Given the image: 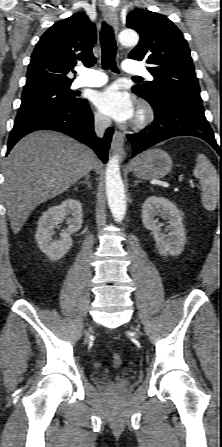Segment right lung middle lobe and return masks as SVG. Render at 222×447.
<instances>
[{
    "label": "right lung middle lobe",
    "mask_w": 222,
    "mask_h": 447,
    "mask_svg": "<svg viewBox=\"0 0 222 447\" xmlns=\"http://www.w3.org/2000/svg\"><path fill=\"white\" fill-rule=\"evenodd\" d=\"M22 103L16 119L43 114L47 111L76 104L81 99L75 98L70 86L50 87L23 91Z\"/></svg>",
    "instance_id": "1"
}]
</instances>
